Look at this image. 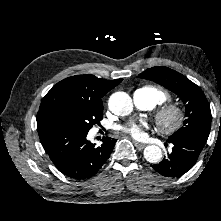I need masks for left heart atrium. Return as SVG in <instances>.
Instances as JSON below:
<instances>
[{"instance_id": "1", "label": "left heart atrium", "mask_w": 221, "mask_h": 221, "mask_svg": "<svg viewBox=\"0 0 221 221\" xmlns=\"http://www.w3.org/2000/svg\"><path fill=\"white\" fill-rule=\"evenodd\" d=\"M143 123L130 122L119 127V130L133 138H141L143 136Z\"/></svg>"}]
</instances>
